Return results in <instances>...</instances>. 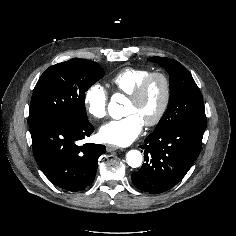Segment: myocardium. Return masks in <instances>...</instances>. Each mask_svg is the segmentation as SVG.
Here are the masks:
<instances>
[{"label": "myocardium", "mask_w": 236, "mask_h": 236, "mask_svg": "<svg viewBox=\"0 0 236 236\" xmlns=\"http://www.w3.org/2000/svg\"><path fill=\"white\" fill-rule=\"evenodd\" d=\"M154 79L161 80L163 84V99L156 115L153 118L144 122L146 126L157 125L162 120L169 107L171 99V82L169 77L163 72H158V71L151 72L141 81V83L136 87V89L129 95V99L133 101H139L144 96L150 83Z\"/></svg>", "instance_id": "myocardium-1"}]
</instances>
